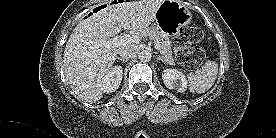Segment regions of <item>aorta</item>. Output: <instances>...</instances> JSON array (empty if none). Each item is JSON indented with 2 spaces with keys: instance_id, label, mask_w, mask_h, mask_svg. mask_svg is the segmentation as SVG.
Masks as SVG:
<instances>
[{
  "instance_id": "obj_1",
  "label": "aorta",
  "mask_w": 276,
  "mask_h": 138,
  "mask_svg": "<svg viewBox=\"0 0 276 138\" xmlns=\"http://www.w3.org/2000/svg\"><path fill=\"white\" fill-rule=\"evenodd\" d=\"M141 62H149L151 60V52L148 50L141 51L138 55Z\"/></svg>"
}]
</instances>
